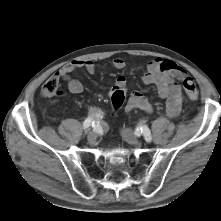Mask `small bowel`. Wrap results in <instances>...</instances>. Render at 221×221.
Wrapping results in <instances>:
<instances>
[{"label":"small bowel","mask_w":221,"mask_h":221,"mask_svg":"<svg viewBox=\"0 0 221 221\" xmlns=\"http://www.w3.org/2000/svg\"><path fill=\"white\" fill-rule=\"evenodd\" d=\"M112 66L117 70H122L125 68L126 63L122 58H115L112 61ZM80 68L89 74H94L97 70L94 61L76 60L63 66L53 76L65 81L71 93L79 94L83 91V85L79 80L71 77V73ZM184 77H186V73L178 64L161 58L151 60L142 76L144 84L155 86L159 97L166 101V113L170 117L178 116L181 111L184 94L176 80L182 81ZM117 88H122L126 91V79L124 76L116 78L109 91L110 94ZM125 109L128 112L137 109L150 113L153 111V104L142 93L136 91L129 95Z\"/></svg>","instance_id":"1"}]
</instances>
